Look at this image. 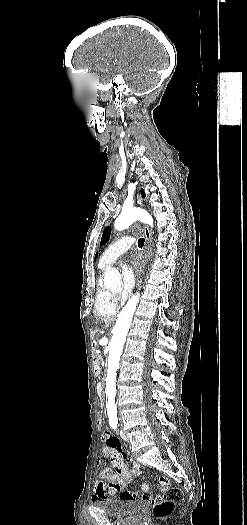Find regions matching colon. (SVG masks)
I'll list each match as a JSON object with an SVG mask.
<instances>
[{"mask_svg": "<svg viewBox=\"0 0 247 525\" xmlns=\"http://www.w3.org/2000/svg\"><path fill=\"white\" fill-rule=\"evenodd\" d=\"M95 424L97 430L102 432L106 421L104 418L99 417L96 419ZM184 495L181 489L175 487L174 489H161V493L155 497L152 501L153 514L156 517H164L171 513L175 502L181 501Z\"/></svg>", "mask_w": 247, "mask_h": 525, "instance_id": "obj_1", "label": "colon"}]
</instances>
